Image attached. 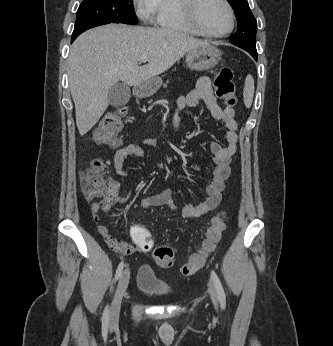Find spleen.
Returning <instances> with one entry per match:
<instances>
[{
	"instance_id": "spleen-1",
	"label": "spleen",
	"mask_w": 333,
	"mask_h": 346,
	"mask_svg": "<svg viewBox=\"0 0 333 346\" xmlns=\"http://www.w3.org/2000/svg\"><path fill=\"white\" fill-rule=\"evenodd\" d=\"M254 79L252 75H247L245 79V87L243 91V98H244V103L247 108H249L252 104L253 101V96H254Z\"/></svg>"
}]
</instances>
